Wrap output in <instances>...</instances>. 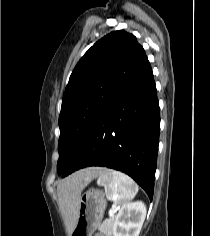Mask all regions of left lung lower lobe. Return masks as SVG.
Segmentation results:
<instances>
[{"instance_id": "0a47b994", "label": "left lung lower lobe", "mask_w": 210, "mask_h": 236, "mask_svg": "<svg viewBox=\"0 0 210 236\" xmlns=\"http://www.w3.org/2000/svg\"><path fill=\"white\" fill-rule=\"evenodd\" d=\"M160 115L152 69L148 64L97 118L62 177L89 166L131 176L153 197Z\"/></svg>"}]
</instances>
